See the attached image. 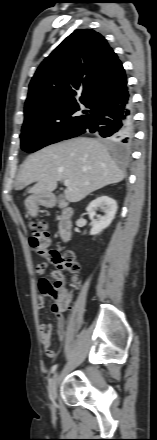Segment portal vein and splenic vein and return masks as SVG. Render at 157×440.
Wrapping results in <instances>:
<instances>
[{
    "instance_id": "obj_1",
    "label": "portal vein and splenic vein",
    "mask_w": 157,
    "mask_h": 440,
    "mask_svg": "<svg viewBox=\"0 0 157 440\" xmlns=\"http://www.w3.org/2000/svg\"><path fill=\"white\" fill-rule=\"evenodd\" d=\"M64 185H65L67 188H69V187L72 186V184H71V182H70L69 180H65V181H64Z\"/></svg>"
}]
</instances>
